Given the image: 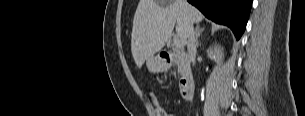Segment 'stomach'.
Masks as SVG:
<instances>
[{
    "instance_id": "stomach-1",
    "label": "stomach",
    "mask_w": 305,
    "mask_h": 116,
    "mask_svg": "<svg viewBox=\"0 0 305 116\" xmlns=\"http://www.w3.org/2000/svg\"><path fill=\"white\" fill-rule=\"evenodd\" d=\"M147 68L152 73L163 72L167 69V64L159 55L151 56L146 60Z\"/></svg>"
}]
</instances>
